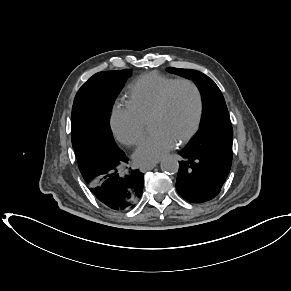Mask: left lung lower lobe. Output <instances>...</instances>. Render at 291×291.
<instances>
[{
    "label": "left lung lower lobe",
    "instance_id": "0a47b994",
    "mask_svg": "<svg viewBox=\"0 0 291 291\" xmlns=\"http://www.w3.org/2000/svg\"><path fill=\"white\" fill-rule=\"evenodd\" d=\"M176 179L178 194L190 203L215 198L229 174L232 159L210 152L184 148Z\"/></svg>",
    "mask_w": 291,
    "mask_h": 291
}]
</instances>
